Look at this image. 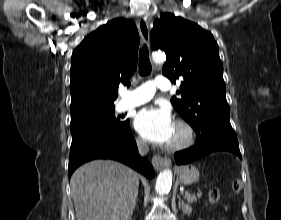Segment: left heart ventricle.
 Segmentation results:
<instances>
[{
	"mask_svg": "<svg viewBox=\"0 0 281 220\" xmlns=\"http://www.w3.org/2000/svg\"><path fill=\"white\" fill-rule=\"evenodd\" d=\"M183 138H184V133H183L182 129L179 128L178 126L174 125L171 137L166 144L172 145V144L179 143L180 141L183 140Z\"/></svg>",
	"mask_w": 281,
	"mask_h": 220,
	"instance_id": "1",
	"label": "left heart ventricle"
}]
</instances>
